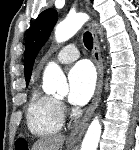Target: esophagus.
Wrapping results in <instances>:
<instances>
[{"mask_svg":"<svg viewBox=\"0 0 139 150\" xmlns=\"http://www.w3.org/2000/svg\"><path fill=\"white\" fill-rule=\"evenodd\" d=\"M86 3V7L89 10V1L85 0ZM92 37H93V58H94V62L97 68V87H96V91L94 94V97L92 99L91 104L89 105L83 119L80 121V123L74 128V130L71 132V134L69 135L68 139H67V143L69 144H75L78 143L87 126L88 123L92 117V115L94 114V111L96 110L98 103L100 101V97H101V92H102V87H103V64H102V59H101V54H100V47H99V42H98V38H97V33L96 30L93 26L92 23H90L89 25Z\"/></svg>","mask_w":139,"mask_h":150,"instance_id":"1","label":"esophagus"}]
</instances>
